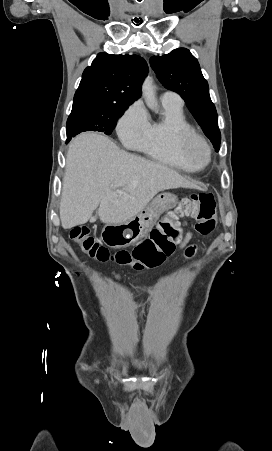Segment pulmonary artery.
I'll list each match as a JSON object with an SVG mask.
<instances>
[{
    "mask_svg": "<svg viewBox=\"0 0 272 451\" xmlns=\"http://www.w3.org/2000/svg\"><path fill=\"white\" fill-rule=\"evenodd\" d=\"M160 99L163 104H168L178 109H182L183 107V100L178 94L174 92H164L161 95Z\"/></svg>",
    "mask_w": 272,
    "mask_h": 451,
    "instance_id": "pulmonary-artery-1",
    "label": "pulmonary artery"
}]
</instances>
